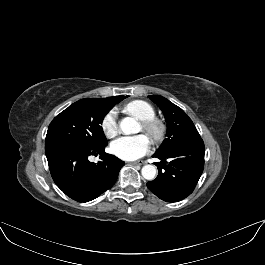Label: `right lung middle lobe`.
Returning <instances> with one entry per match:
<instances>
[{
    "label": "right lung middle lobe",
    "instance_id": "right-lung-middle-lobe-1",
    "mask_svg": "<svg viewBox=\"0 0 265 265\" xmlns=\"http://www.w3.org/2000/svg\"><path fill=\"white\" fill-rule=\"evenodd\" d=\"M112 107L101 98H85L73 103L52 120L45 142L74 141L88 147L107 144L101 124Z\"/></svg>",
    "mask_w": 265,
    "mask_h": 265
}]
</instances>
